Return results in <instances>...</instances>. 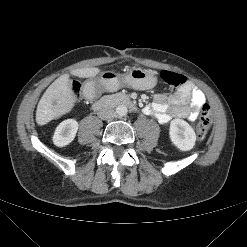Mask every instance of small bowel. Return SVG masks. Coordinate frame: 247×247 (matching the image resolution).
<instances>
[{
  "label": "small bowel",
  "instance_id": "small-bowel-1",
  "mask_svg": "<svg viewBox=\"0 0 247 247\" xmlns=\"http://www.w3.org/2000/svg\"><path fill=\"white\" fill-rule=\"evenodd\" d=\"M86 96H92L91 88L86 89ZM204 93L188 83L170 96L157 94L152 104L145 107L146 114L154 116L161 125H168L173 118L197 119L200 109L205 104Z\"/></svg>",
  "mask_w": 247,
  "mask_h": 247
}]
</instances>
